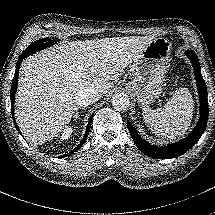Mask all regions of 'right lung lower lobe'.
Masks as SVG:
<instances>
[{
    "label": "right lung lower lobe",
    "instance_id": "obj_1",
    "mask_svg": "<svg viewBox=\"0 0 215 215\" xmlns=\"http://www.w3.org/2000/svg\"><path fill=\"white\" fill-rule=\"evenodd\" d=\"M26 57H28V56L25 53H22V55L19 57V60H18L17 65H16V71H15V74H14V77H13V80H12V87H11V93H10L11 113H12L14 124H15V126H16V128H17V130H18V132L20 134H21V132H20V130H19V128H18V126H17V124L15 122V118H14V103H15V93H16V89H17V82H18V74H19L20 64H21L22 60L24 58H26ZM92 118H93V114L91 115V117L89 119L87 129L85 131L84 137H83L82 141L80 142V144L75 149H73L71 152H69L67 154H64L63 156H60V158L70 156L71 154L76 152L85 143V141L87 139V136L89 134Z\"/></svg>",
    "mask_w": 215,
    "mask_h": 215
}]
</instances>
